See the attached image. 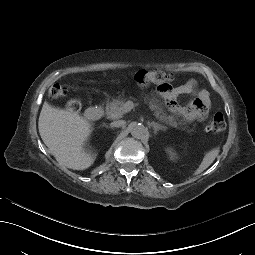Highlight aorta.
<instances>
[{
	"label": "aorta",
	"mask_w": 255,
	"mask_h": 255,
	"mask_svg": "<svg viewBox=\"0 0 255 255\" xmlns=\"http://www.w3.org/2000/svg\"><path fill=\"white\" fill-rule=\"evenodd\" d=\"M131 135L134 137V138H142L146 135L147 133V129L145 128V126L143 124H140V123H134L132 126H131Z\"/></svg>",
	"instance_id": "aorta-1"
}]
</instances>
